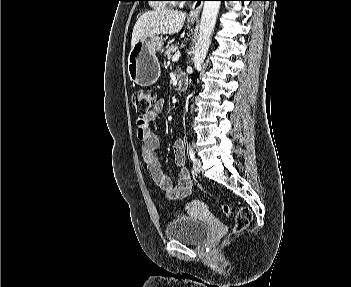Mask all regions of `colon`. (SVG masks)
Returning a JSON list of instances; mask_svg holds the SVG:
<instances>
[{"mask_svg":"<svg viewBox=\"0 0 351 287\" xmlns=\"http://www.w3.org/2000/svg\"><path fill=\"white\" fill-rule=\"evenodd\" d=\"M132 103L135 107L136 114L138 117H145L150 110L155 106L156 97L155 94L148 90H135L132 93ZM221 212L225 216L231 214V209L228 205L224 204L221 207ZM252 220V211L248 207H241L235 216V231H241L247 228Z\"/></svg>","mask_w":351,"mask_h":287,"instance_id":"colon-1","label":"colon"}]
</instances>
